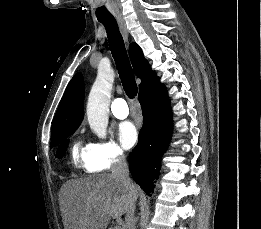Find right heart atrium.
<instances>
[{
    "mask_svg": "<svg viewBox=\"0 0 261 229\" xmlns=\"http://www.w3.org/2000/svg\"><path fill=\"white\" fill-rule=\"evenodd\" d=\"M89 147L88 168L92 172L108 171L126 160L124 150L115 140L101 139L90 143Z\"/></svg>",
    "mask_w": 261,
    "mask_h": 229,
    "instance_id": "right-heart-atrium-1",
    "label": "right heart atrium"
}]
</instances>
